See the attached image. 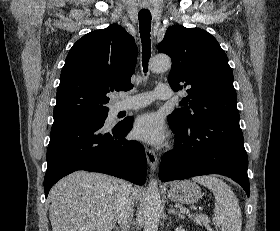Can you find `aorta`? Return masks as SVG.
I'll return each instance as SVG.
<instances>
[{
	"instance_id": "obj_1",
	"label": "aorta",
	"mask_w": 280,
	"mask_h": 231,
	"mask_svg": "<svg viewBox=\"0 0 280 231\" xmlns=\"http://www.w3.org/2000/svg\"><path fill=\"white\" fill-rule=\"evenodd\" d=\"M171 68L169 56H155L149 62V70L153 74L167 72ZM161 195L157 179L149 181L146 197L144 201V231H158L160 213H161Z\"/></svg>"
}]
</instances>
